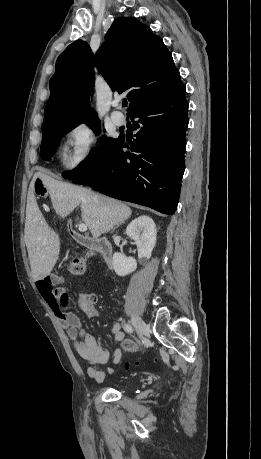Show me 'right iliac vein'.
Instances as JSON below:
<instances>
[{
  "instance_id": "63e3f726",
  "label": "right iliac vein",
  "mask_w": 261,
  "mask_h": 459,
  "mask_svg": "<svg viewBox=\"0 0 261 459\" xmlns=\"http://www.w3.org/2000/svg\"><path fill=\"white\" fill-rule=\"evenodd\" d=\"M132 323L139 337L142 338L148 331L147 324L138 316H132Z\"/></svg>"
}]
</instances>
